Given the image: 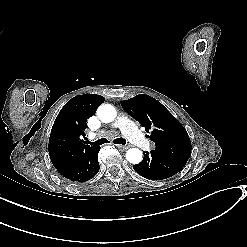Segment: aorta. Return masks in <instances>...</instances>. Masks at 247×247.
Returning a JSON list of instances; mask_svg holds the SVG:
<instances>
[{
  "label": "aorta",
  "mask_w": 247,
  "mask_h": 247,
  "mask_svg": "<svg viewBox=\"0 0 247 247\" xmlns=\"http://www.w3.org/2000/svg\"><path fill=\"white\" fill-rule=\"evenodd\" d=\"M98 118L104 123H110L116 117V110L110 104H102L97 109ZM126 159L132 164H139L143 159L142 151L138 148H131L126 153Z\"/></svg>",
  "instance_id": "1"
}]
</instances>
